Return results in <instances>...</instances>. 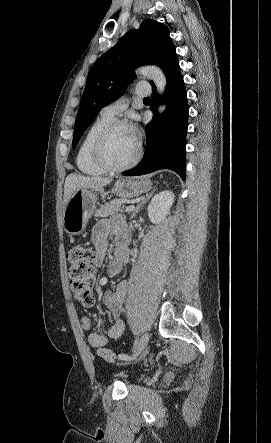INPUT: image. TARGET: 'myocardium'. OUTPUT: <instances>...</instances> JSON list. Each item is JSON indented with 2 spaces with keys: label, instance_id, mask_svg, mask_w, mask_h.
Here are the masks:
<instances>
[{
  "label": "myocardium",
  "instance_id": "1",
  "mask_svg": "<svg viewBox=\"0 0 271 443\" xmlns=\"http://www.w3.org/2000/svg\"><path fill=\"white\" fill-rule=\"evenodd\" d=\"M120 126H128L134 130L137 139V149L132 158L129 159L126 163L121 165H115L108 158L106 148L110 135L116 128ZM92 152L95 161L106 171L122 172L134 166L140 159L142 154V141L135 127L129 121H127L126 119L115 118L112 119L109 123H107L100 131L99 135L97 136L94 142Z\"/></svg>",
  "mask_w": 271,
  "mask_h": 443
}]
</instances>
